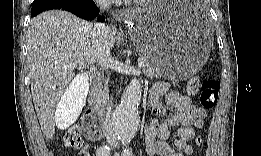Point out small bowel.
I'll list each match as a JSON object with an SVG mask.
<instances>
[{
  "label": "small bowel",
  "mask_w": 261,
  "mask_h": 156,
  "mask_svg": "<svg viewBox=\"0 0 261 156\" xmlns=\"http://www.w3.org/2000/svg\"><path fill=\"white\" fill-rule=\"evenodd\" d=\"M162 96L165 105L160 102ZM149 106L153 117L145 129L146 155H191L190 141L204 125L205 110L194 105L189 97L171 89L167 82H158L152 87ZM90 149L91 145L86 143L78 154L89 156Z\"/></svg>",
  "instance_id": "obj_1"
}]
</instances>
